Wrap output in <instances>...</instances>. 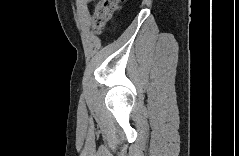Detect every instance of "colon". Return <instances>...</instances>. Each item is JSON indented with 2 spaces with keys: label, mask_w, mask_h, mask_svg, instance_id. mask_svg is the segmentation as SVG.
Here are the masks:
<instances>
[{
  "label": "colon",
  "mask_w": 239,
  "mask_h": 156,
  "mask_svg": "<svg viewBox=\"0 0 239 156\" xmlns=\"http://www.w3.org/2000/svg\"><path fill=\"white\" fill-rule=\"evenodd\" d=\"M119 3L116 0H99L94 9V24L97 30L104 29L113 19Z\"/></svg>",
  "instance_id": "obj_1"
}]
</instances>
